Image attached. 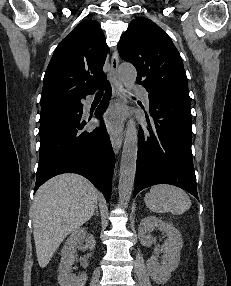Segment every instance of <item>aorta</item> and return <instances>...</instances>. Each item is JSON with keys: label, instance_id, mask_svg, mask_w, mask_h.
<instances>
[{"label": "aorta", "instance_id": "aorta-1", "mask_svg": "<svg viewBox=\"0 0 231 286\" xmlns=\"http://www.w3.org/2000/svg\"><path fill=\"white\" fill-rule=\"evenodd\" d=\"M118 74L122 84L130 93L137 77L135 67L132 64H122L119 67ZM137 152L138 131L135 120L130 118L127 122L125 139L123 143L118 186L120 204L123 207L128 205L132 194L136 173Z\"/></svg>", "mask_w": 231, "mask_h": 286}]
</instances>
